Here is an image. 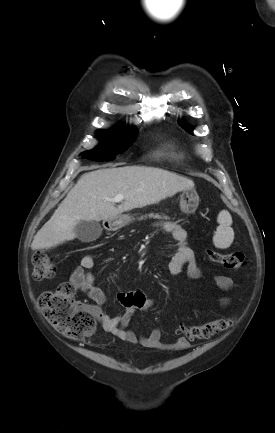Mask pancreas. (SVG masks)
<instances>
[{
    "mask_svg": "<svg viewBox=\"0 0 275 433\" xmlns=\"http://www.w3.org/2000/svg\"><path fill=\"white\" fill-rule=\"evenodd\" d=\"M150 218H154V219H162V220H170V217L166 216V215H159V214H149ZM146 218V216H145ZM143 217H141L139 220H142Z\"/></svg>",
    "mask_w": 275,
    "mask_h": 433,
    "instance_id": "obj_1",
    "label": "pancreas"
}]
</instances>
